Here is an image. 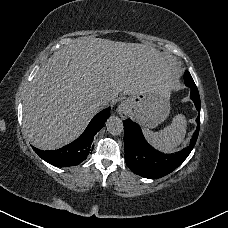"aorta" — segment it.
<instances>
[{"label": "aorta", "mask_w": 228, "mask_h": 228, "mask_svg": "<svg viewBox=\"0 0 228 228\" xmlns=\"http://www.w3.org/2000/svg\"><path fill=\"white\" fill-rule=\"evenodd\" d=\"M107 131L112 135H120L123 132L122 120L116 116H111L106 122Z\"/></svg>", "instance_id": "aorta-1"}]
</instances>
